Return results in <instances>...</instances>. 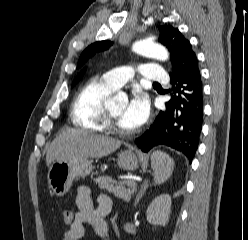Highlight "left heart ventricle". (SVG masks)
Masks as SVG:
<instances>
[{
  "label": "left heart ventricle",
  "instance_id": "1",
  "mask_svg": "<svg viewBox=\"0 0 248 240\" xmlns=\"http://www.w3.org/2000/svg\"><path fill=\"white\" fill-rule=\"evenodd\" d=\"M127 104H128L127 100H123L111 106L109 110L112 116L115 118L116 122L120 125V127L129 130L131 128L125 123L123 119Z\"/></svg>",
  "mask_w": 248,
  "mask_h": 240
}]
</instances>
